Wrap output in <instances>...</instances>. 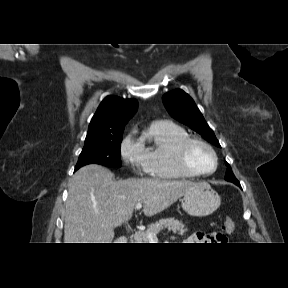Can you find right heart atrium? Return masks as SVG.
<instances>
[{"label":"right heart atrium","mask_w":288,"mask_h":288,"mask_svg":"<svg viewBox=\"0 0 288 288\" xmlns=\"http://www.w3.org/2000/svg\"><path fill=\"white\" fill-rule=\"evenodd\" d=\"M120 155L123 162L133 169L143 167L144 151L141 143L129 134L121 142Z\"/></svg>","instance_id":"1"}]
</instances>
